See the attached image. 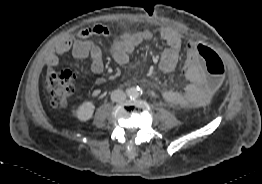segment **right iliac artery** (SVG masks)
<instances>
[{
  "instance_id": "right-iliac-artery-1",
  "label": "right iliac artery",
  "mask_w": 262,
  "mask_h": 184,
  "mask_svg": "<svg viewBox=\"0 0 262 184\" xmlns=\"http://www.w3.org/2000/svg\"><path fill=\"white\" fill-rule=\"evenodd\" d=\"M127 93H130V91H129V90H127Z\"/></svg>"
}]
</instances>
